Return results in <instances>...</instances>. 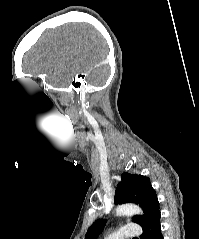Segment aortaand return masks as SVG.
<instances>
[{"label": "aorta", "mask_w": 199, "mask_h": 239, "mask_svg": "<svg viewBox=\"0 0 199 239\" xmlns=\"http://www.w3.org/2000/svg\"><path fill=\"white\" fill-rule=\"evenodd\" d=\"M135 214H142V209L134 204H123L116 208L117 216H129Z\"/></svg>", "instance_id": "1"}]
</instances>
